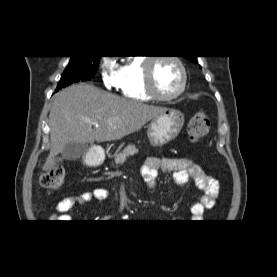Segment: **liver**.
<instances>
[{
	"mask_svg": "<svg viewBox=\"0 0 277 277\" xmlns=\"http://www.w3.org/2000/svg\"><path fill=\"white\" fill-rule=\"evenodd\" d=\"M167 109L126 100L96 88L73 85L58 92L49 114L50 152L43 165L52 170L69 142L90 143L120 140L139 131ZM96 121L98 126L91 123Z\"/></svg>",
	"mask_w": 277,
	"mask_h": 277,
	"instance_id": "obj_1",
	"label": "liver"
}]
</instances>
